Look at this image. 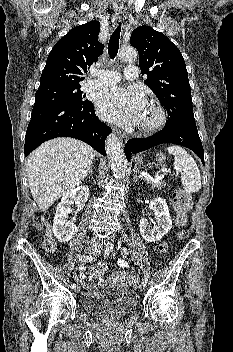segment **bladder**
Here are the masks:
<instances>
[{"instance_id":"obj_1","label":"bladder","mask_w":233,"mask_h":352,"mask_svg":"<svg viewBox=\"0 0 233 352\" xmlns=\"http://www.w3.org/2000/svg\"><path fill=\"white\" fill-rule=\"evenodd\" d=\"M137 297L127 287L109 281L90 285L82 297V305L87 312L108 316H121L135 308Z\"/></svg>"}]
</instances>
